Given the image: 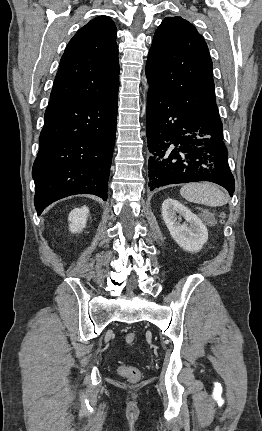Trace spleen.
Returning <instances> with one entry per match:
<instances>
[{
    "label": "spleen",
    "instance_id": "obj_1",
    "mask_svg": "<svg viewBox=\"0 0 262 431\" xmlns=\"http://www.w3.org/2000/svg\"><path fill=\"white\" fill-rule=\"evenodd\" d=\"M180 195L189 202L211 207L227 204V196L211 183H189L180 189Z\"/></svg>",
    "mask_w": 262,
    "mask_h": 431
}]
</instances>
